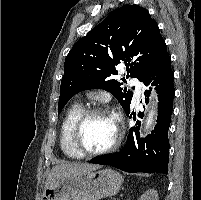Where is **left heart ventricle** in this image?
Masks as SVG:
<instances>
[{"label":"left heart ventricle","mask_w":201,"mask_h":200,"mask_svg":"<svg viewBox=\"0 0 201 200\" xmlns=\"http://www.w3.org/2000/svg\"><path fill=\"white\" fill-rule=\"evenodd\" d=\"M116 130V123L110 116L94 115L82 127L81 145L90 151L100 150L113 141Z\"/></svg>","instance_id":"obj_1"}]
</instances>
